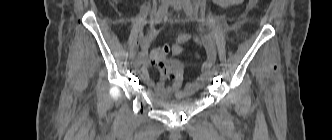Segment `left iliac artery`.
<instances>
[{"instance_id":"left-iliac-artery-1","label":"left iliac artery","mask_w":332,"mask_h":140,"mask_svg":"<svg viewBox=\"0 0 332 140\" xmlns=\"http://www.w3.org/2000/svg\"><path fill=\"white\" fill-rule=\"evenodd\" d=\"M183 7L185 12L189 15V16H193L194 15V9H193V5L191 3V0H183ZM217 70H220V66L217 64L215 65V67Z\"/></svg>"}]
</instances>
